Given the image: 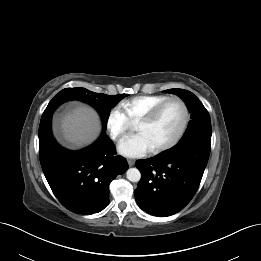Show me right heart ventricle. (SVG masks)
I'll list each match as a JSON object with an SVG mask.
<instances>
[{"label": "right heart ventricle", "instance_id": "right-heart-ventricle-1", "mask_svg": "<svg viewBox=\"0 0 261 261\" xmlns=\"http://www.w3.org/2000/svg\"><path fill=\"white\" fill-rule=\"evenodd\" d=\"M167 95H141L121 103V108L130 123H136L161 102L168 99Z\"/></svg>", "mask_w": 261, "mask_h": 261}]
</instances>
